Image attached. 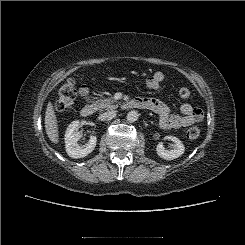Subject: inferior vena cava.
<instances>
[{"label":"inferior vena cava","mask_w":245,"mask_h":245,"mask_svg":"<svg viewBox=\"0 0 245 245\" xmlns=\"http://www.w3.org/2000/svg\"><path fill=\"white\" fill-rule=\"evenodd\" d=\"M115 115H116V111H108V112L102 113L99 116V119L104 121V120H106L108 118L114 117Z\"/></svg>","instance_id":"obj_1"}]
</instances>
